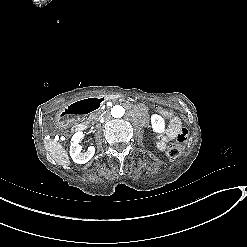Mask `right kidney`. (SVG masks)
I'll list each match as a JSON object with an SVG mask.
<instances>
[{
    "label": "right kidney",
    "instance_id": "ca27d5eb",
    "mask_svg": "<svg viewBox=\"0 0 247 247\" xmlns=\"http://www.w3.org/2000/svg\"><path fill=\"white\" fill-rule=\"evenodd\" d=\"M83 137V132H76L73 135L70 143V156L77 164H85L89 162L94 157L96 151L95 146L88 147L86 152L82 151V147L79 143Z\"/></svg>",
    "mask_w": 247,
    "mask_h": 247
}]
</instances>
